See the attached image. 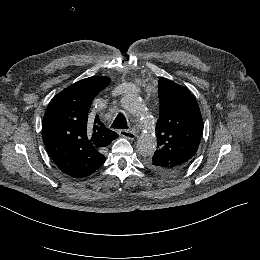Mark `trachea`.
<instances>
[{
    "mask_svg": "<svg viewBox=\"0 0 260 260\" xmlns=\"http://www.w3.org/2000/svg\"><path fill=\"white\" fill-rule=\"evenodd\" d=\"M112 129H128V123L123 113H119L111 125Z\"/></svg>",
    "mask_w": 260,
    "mask_h": 260,
    "instance_id": "obj_1",
    "label": "trachea"
}]
</instances>
